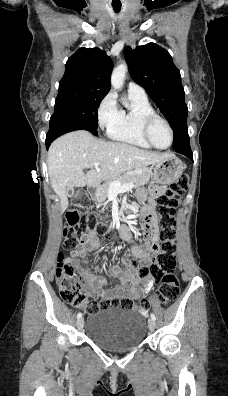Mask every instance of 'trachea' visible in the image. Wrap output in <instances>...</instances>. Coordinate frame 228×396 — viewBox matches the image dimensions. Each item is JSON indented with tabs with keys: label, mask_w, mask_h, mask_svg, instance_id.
Wrapping results in <instances>:
<instances>
[{
	"label": "trachea",
	"mask_w": 228,
	"mask_h": 396,
	"mask_svg": "<svg viewBox=\"0 0 228 396\" xmlns=\"http://www.w3.org/2000/svg\"><path fill=\"white\" fill-rule=\"evenodd\" d=\"M113 9L116 13H118L121 9V6H113Z\"/></svg>",
	"instance_id": "1"
}]
</instances>
